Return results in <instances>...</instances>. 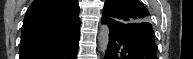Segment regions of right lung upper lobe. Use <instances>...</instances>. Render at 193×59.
Segmentation results:
<instances>
[{"instance_id":"right-lung-upper-lobe-1","label":"right lung upper lobe","mask_w":193,"mask_h":59,"mask_svg":"<svg viewBox=\"0 0 193 59\" xmlns=\"http://www.w3.org/2000/svg\"><path fill=\"white\" fill-rule=\"evenodd\" d=\"M77 0H35L28 8L19 57L51 53L80 33Z\"/></svg>"}]
</instances>
